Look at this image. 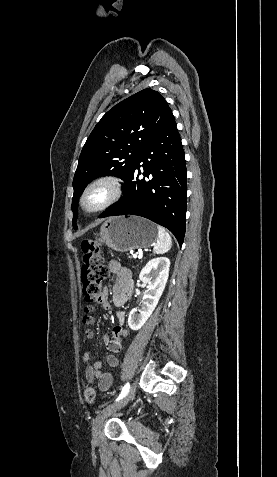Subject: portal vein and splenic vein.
<instances>
[{"instance_id":"portal-vein-and-splenic-vein-1","label":"portal vein and splenic vein","mask_w":277,"mask_h":477,"mask_svg":"<svg viewBox=\"0 0 277 477\" xmlns=\"http://www.w3.org/2000/svg\"><path fill=\"white\" fill-rule=\"evenodd\" d=\"M137 257H138V255H137V254H133V258H137Z\"/></svg>"}]
</instances>
